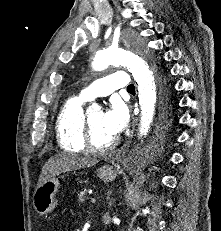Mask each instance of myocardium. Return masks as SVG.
Wrapping results in <instances>:
<instances>
[{"instance_id": "myocardium-1", "label": "myocardium", "mask_w": 221, "mask_h": 231, "mask_svg": "<svg viewBox=\"0 0 221 231\" xmlns=\"http://www.w3.org/2000/svg\"><path fill=\"white\" fill-rule=\"evenodd\" d=\"M83 141H84L86 149L94 153H106L114 149L119 143V139L115 138L113 141H111L106 146H97L93 141L92 131H91V126H90L88 115L84 116V119H83Z\"/></svg>"}]
</instances>
